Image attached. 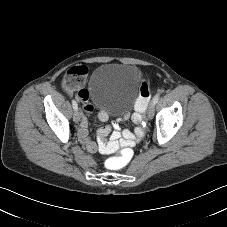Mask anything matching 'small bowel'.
<instances>
[{
  "label": "small bowel",
  "mask_w": 227,
  "mask_h": 227,
  "mask_svg": "<svg viewBox=\"0 0 227 227\" xmlns=\"http://www.w3.org/2000/svg\"><path fill=\"white\" fill-rule=\"evenodd\" d=\"M76 74H79L81 80L85 79L88 74V69L85 66H78L74 68ZM78 99L84 105V116L82 123L78 130V135L80 140L85 144L86 149L91 152H105L111 153L120 148H125L135 144L133 135L125 131L121 134L119 125L117 123H112V125H106L100 128L96 140H92L88 137L87 126L88 118L87 116L92 114L95 111L94 106L88 102V93L86 90L82 89L77 94ZM109 114L106 110L98 111V119L102 122L107 121ZM123 135V138H121ZM109 138V141L107 140Z\"/></svg>",
  "instance_id": "c3829d8e"
}]
</instances>
